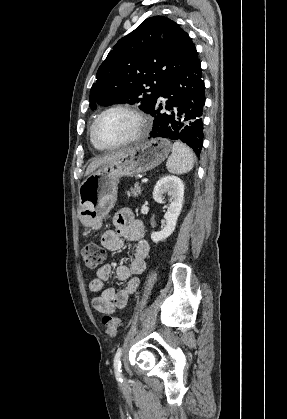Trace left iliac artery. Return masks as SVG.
Masks as SVG:
<instances>
[{"label": "left iliac artery", "mask_w": 287, "mask_h": 419, "mask_svg": "<svg viewBox=\"0 0 287 419\" xmlns=\"http://www.w3.org/2000/svg\"><path fill=\"white\" fill-rule=\"evenodd\" d=\"M122 355V349H118L115 357H114V370H115V375L117 377L118 380L122 381V376H121V358Z\"/></svg>", "instance_id": "left-iliac-artery-1"}]
</instances>
